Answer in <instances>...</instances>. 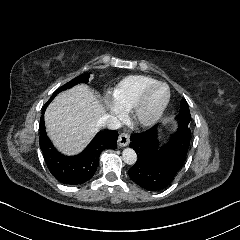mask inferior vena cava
<instances>
[{"label": "inferior vena cava", "mask_w": 240, "mask_h": 240, "mask_svg": "<svg viewBox=\"0 0 240 240\" xmlns=\"http://www.w3.org/2000/svg\"><path fill=\"white\" fill-rule=\"evenodd\" d=\"M97 125H102L111 130H116L121 127L120 121L112 115H103L98 121Z\"/></svg>", "instance_id": "602c4592"}]
</instances>
